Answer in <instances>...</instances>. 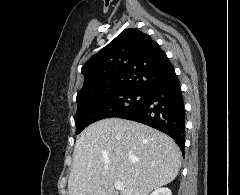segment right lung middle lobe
Instances as JSON below:
<instances>
[{
	"mask_svg": "<svg viewBox=\"0 0 240 195\" xmlns=\"http://www.w3.org/2000/svg\"><path fill=\"white\" fill-rule=\"evenodd\" d=\"M145 95V91L124 89L105 96L77 100V134L96 121L117 117L138 106Z\"/></svg>",
	"mask_w": 240,
	"mask_h": 195,
	"instance_id": "right-lung-middle-lobe-1",
	"label": "right lung middle lobe"
}]
</instances>
